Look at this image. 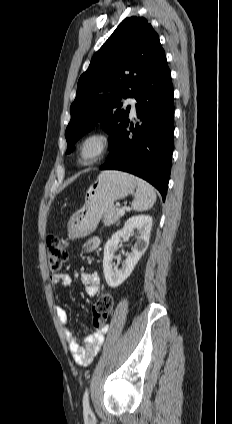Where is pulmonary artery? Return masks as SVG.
<instances>
[{
	"label": "pulmonary artery",
	"mask_w": 232,
	"mask_h": 424,
	"mask_svg": "<svg viewBox=\"0 0 232 424\" xmlns=\"http://www.w3.org/2000/svg\"><path fill=\"white\" fill-rule=\"evenodd\" d=\"M125 103L127 104V105H130V113H131V116H135V113H136V109H135V99L133 98V97H129V98H127L126 100H125Z\"/></svg>",
	"instance_id": "obj_1"
}]
</instances>
